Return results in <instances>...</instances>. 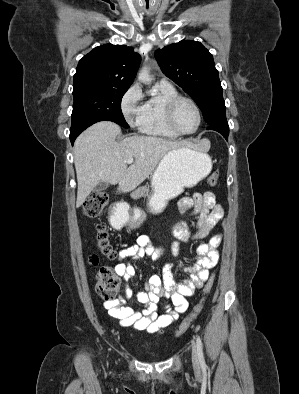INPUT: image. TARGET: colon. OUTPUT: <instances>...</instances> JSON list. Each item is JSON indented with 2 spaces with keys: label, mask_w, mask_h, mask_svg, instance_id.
<instances>
[{
  "label": "colon",
  "mask_w": 299,
  "mask_h": 394,
  "mask_svg": "<svg viewBox=\"0 0 299 394\" xmlns=\"http://www.w3.org/2000/svg\"><path fill=\"white\" fill-rule=\"evenodd\" d=\"M218 174L213 172L208 177V183L211 186L218 184ZM108 195L104 191L93 192L82 206L83 214L89 218H95L103 214L108 205ZM95 241L98 253L106 259L115 260L117 253L109 241V234L103 224H98L95 228ZM90 263L97 266V285L96 290L99 296L106 300H115L119 288L120 279L108 266H99L97 255H92L89 258ZM214 283V275L211 274L205 281L203 287V297L200 302L195 306L192 312L181 322L176 330V336L182 335L190 326L191 321L201 312L205 300V296L211 291Z\"/></svg>",
  "instance_id": "5ec220e1"
}]
</instances>
